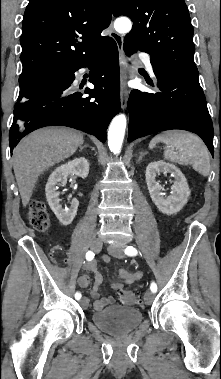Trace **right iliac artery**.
Returning <instances> with one entry per match:
<instances>
[{
    "mask_svg": "<svg viewBox=\"0 0 221 379\" xmlns=\"http://www.w3.org/2000/svg\"><path fill=\"white\" fill-rule=\"evenodd\" d=\"M94 256H95V254L92 252V251H88L87 253H86V259L88 260V261H91L93 258H94ZM81 293L80 292H76L75 293V299H77V300H79L80 298H81Z\"/></svg>",
    "mask_w": 221,
    "mask_h": 379,
    "instance_id": "right-iliac-artery-1",
    "label": "right iliac artery"
}]
</instances>
